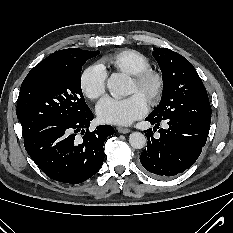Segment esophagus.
Instances as JSON below:
<instances>
[{"label":"esophagus","mask_w":233,"mask_h":233,"mask_svg":"<svg viewBox=\"0 0 233 233\" xmlns=\"http://www.w3.org/2000/svg\"><path fill=\"white\" fill-rule=\"evenodd\" d=\"M117 131H118L119 133H121V134H127V133L130 132V129L125 128V127H118V128H117Z\"/></svg>","instance_id":"1"}]
</instances>
